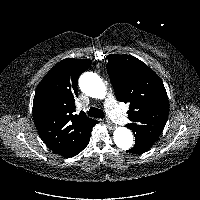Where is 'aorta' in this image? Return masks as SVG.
I'll return each instance as SVG.
<instances>
[{
    "label": "aorta",
    "mask_w": 200,
    "mask_h": 200,
    "mask_svg": "<svg viewBox=\"0 0 200 200\" xmlns=\"http://www.w3.org/2000/svg\"><path fill=\"white\" fill-rule=\"evenodd\" d=\"M79 87L86 95L92 98L102 99L106 95V86L96 73L85 72L79 79ZM113 139L117 147L128 150L133 145V135L126 127H117L113 133Z\"/></svg>",
    "instance_id": "aorta-1"
}]
</instances>
